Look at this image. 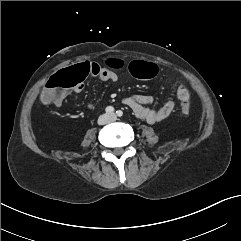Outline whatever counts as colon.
I'll return each instance as SVG.
<instances>
[{"label": "colon", "instance_id": "obj_1", "mask_svg": "<svg viewBox=\"0 0 241 241\" xmlns=\"http://www.w3.org/2000/svg\"><path fill=\"white\" fill-rule=\"evenodd\" d=\"M107 65L114 69H123L125 62L120 59H109ZM91 67L87 61L80 60L66 69L55 73L47 81L43 93L45 103H56L62 101L65 93L81 84L82 80L90 73ZM130 71L133 75L143 78L155 76L157 68L152 63L133 62L130 64ZM180 100L181 112L184 115L190 114L189 92L187 89L177 91Z\"/></svg>", "mask_w": 241, "mask_h": 241}]
</instances>
